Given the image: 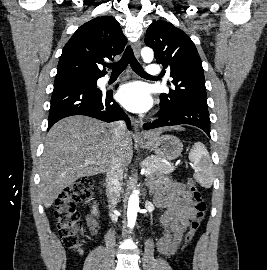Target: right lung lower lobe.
<instances>
[{"label":"right lung lower lobe","mask_w":267,"mask_h":270,"mask_svg":"<svg viewBox=\"0 0 267 270\" xmlns=\"http://www.w3.org/2000/svg\"><path fill=\"white\" fill-rule=\"evenodd\" d=\"M100 78V77H98ZM113 91H101L88 86H54L48 118V130L59 120L73 115H86L105 122L130 121L120 106L114 102Z\"/></svg>","instance_id":"98d812e1"}]
</instances>
